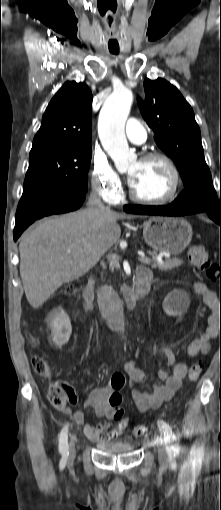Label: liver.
<instances>
[{"instance_id":"6515ba94","label":"liver","mask_w":221,"mask_h":510,"mask_svg":"<svg viewBox=\"0 0 221 510\" xmlns=\"http://www.w3.org/2000/svg\"><path fill=\"white\" fill-rule=\"evenodd\" d=\"M125 213L98 208L39 221L20 238V275L33 308L42 306L64 283L86 274L119 240ZM70 251V252H68Z\"/></svg>"}]
</instances>
